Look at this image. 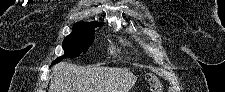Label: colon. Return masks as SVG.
<instances>
[{"mask_svg":"<svg viewBox=\"0 0 225 92\" xmlns=\"http://www.w3.org/2000/svg\"><path fill=\"white\" fill-rule=\"evenodd\" d=\"M149 84H150V91L151 92H161V84L160 82L153 78V77H149Z\"/></svg>","mask_w":225,"mask_h":92,"instance_id":"1","label":"colon"}]
</instances>
